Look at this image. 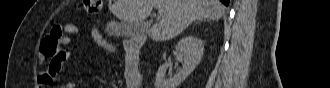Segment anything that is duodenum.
<instances>
[{
	"mask_svg": "<svg viewBox=\"0 0 330 88\" xmlns=\"http://www.w3.org/2000/svg\"><path fill=\"white\" fill-rule=\"evenodd\" d=\"M143 36L132 38L125 44V51L127 54V64L132 67L127 70V76H131L129 83L132 87H137L139 83V51L144 42Z\"/></svg>",
	"mask_w": 330,
	"mask_h": 88,
	"instance_id": "obj_1",
	"label": "duodenum"
}]
</instances>
